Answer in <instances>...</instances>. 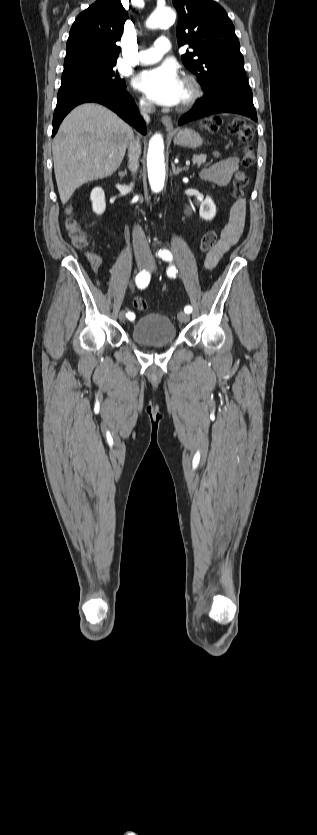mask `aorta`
<instances>
[{
    "mask_svg": "<svg viewBox=\"0 0 317 835\" xmlns=\"http://www.w3.org/2000/svg\"><path fill=\"white\" fill-rule=\"evenodd\" d=\"M176 13L170 7L156 8L146 25L150 29L168 26L174 23ZM147 171L150 187L154 192H160L165 182L164 142L161 134H154L149 141L147 153Z\"/></svg>",
    "mask_w": 317,
    "mask_h": 835,
    "instance_id": "obj_1",
    "label": "aorta"
}]
</instances>
